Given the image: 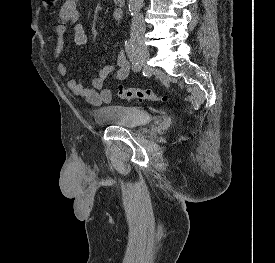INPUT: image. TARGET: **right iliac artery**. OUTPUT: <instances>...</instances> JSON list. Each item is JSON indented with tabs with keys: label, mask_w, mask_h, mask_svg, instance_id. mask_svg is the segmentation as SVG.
<instances>
[{
	"label": "right iliac artery",
	"mask_w": 275,
	"mask_h": 263,
	"mask_svg": "<svg viewBox=\"0 0 275 263\" xmlns=\"http://www.w3.org/2000/svg\"><path fill=\"white\" fill-rule=\"evenodd\" d=\"M125 47H126L127 54L132 62L133 71H135V72L140 71L141 65L136 58V51H135L132 41L131 40L125 41Z\"/></svg>",
	"instance_id": "right-iliac-artery-1"
}]
</instances>
